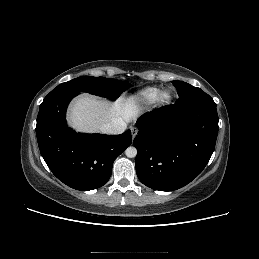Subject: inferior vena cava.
Masks as SVG:
<instances>
[{
    "instance_id": "obj_1",
    "label": "inferior vena cava",
    "mask_w": 259,
    "mask_h": 259,
    "mask_svg": "<svg viewBox=\"0 0 259 259\" xmlns=\"http://www.w3.org/2000/svg\"><path fill=\"white\" fill-rule=\"evenodd\" d=\"M127 128V124L123 119H115L110 123L104 124L101 131L106 134H121Z\"/></svg>"
}]
</instances>
